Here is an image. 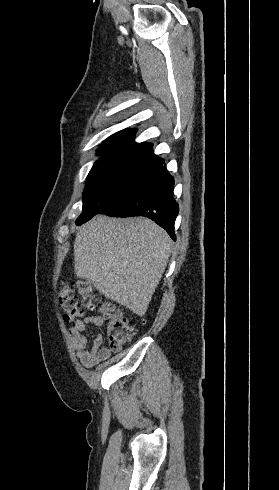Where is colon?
<instances>
[{"label": "colon", "instance_id": "colon-1", "mask_svg": "<svg viewBox=\"0 0 279 490\" xmlns=\"http://www.w3.org/2000/svg\"><path fill=\"white\" fill-rule=\"evenodd\" d=\"M77 289L79 297L67 282H62L57 291V299L64 313V321L70 323L84 316V311L79 305V299H81L87 310L98 312L107 323L105 332L111 350H123L136 334L135 326L128 322L125 313L108 303H102L93 294L89 283L80 282L77 284Z\"/></svg>", "mask_w": 279, "mask_h": 490}]
</instances>
